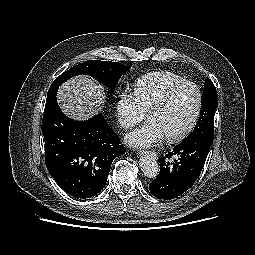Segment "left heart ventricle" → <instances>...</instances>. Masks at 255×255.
I'll list each match as a JSON object with an SVG mask.
<instances>
[{
	"instance_id": "1",
	"label": "left heart ventricle",
	"mask_w": 255,
	"mask_h": 255,
	"mask_svg": "<svg viewBox=\"0 0 255 255\" xmlns=\"http://www.w3.org/2000/svg\"><path fill=\"white\" fill-rule=\"evenodd\" d=\"M197 100V90L191 85L185 86L171 97L163 109L153 113L149 120L159 125L165 137L176 135L190 122L196 110Z\"/></svg>"
}]
</instances>
